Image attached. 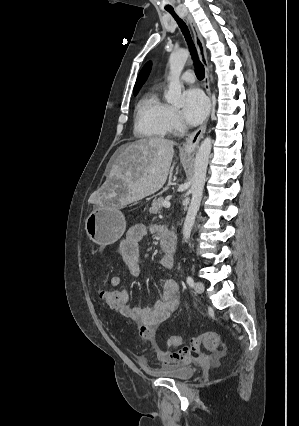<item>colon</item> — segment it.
Instances as JSON below:
<instances>
[{"instance_id": "obj_1", "label": "colon", "mask_w": 299, "mask_h": 426, "mask_svg": "<svg viewBox=\"0 0 299 426\" xmlns=\"http://www.w3.org/2000/svg\"><path fill=\"white\" fill-rule=\"evenodd\" d=\"M101 302L110 310L118 312L121 305V293L114 288H101L99 291ZM168 345L171 347H180L182 338L179 335H172L168 338ZM223 345L220 336L215 332H206L202 335L195 336L190 340L188 347L181 350L188 352H199L202 348L215 350Z\"/></svg>"}]
</instances>
